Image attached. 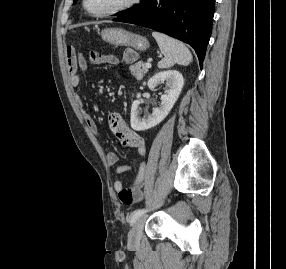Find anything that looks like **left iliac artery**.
<instances>
[{
    "mask_svg": "<svg viewBox=\"0 0 286 269\" xmlns=\"http://www.w3.org/2000/svg\"><path fill=\"white\" fill-rule=\"evenodd\" d=\"M147 210L146 209H138L136 211H134L130 223L133 224L136 222V220L141 217Z\"/></svg>",
    "mask_w": 286,
    "mask_h": 269,
    "instance_id": "obj_1",
    "label": "left iliac artery"
}]
</instances>
